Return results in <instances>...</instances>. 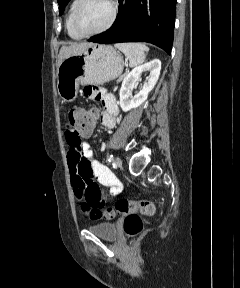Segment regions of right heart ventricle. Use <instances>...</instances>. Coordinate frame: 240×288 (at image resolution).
Segmentation results:
<instances>
[{
	"label": "right heart ventricle",
	"instance_id": "1",
	"mask_svg": "<svg viewBox=\"0 0 240 288\" xmlns=\"http://www.w3.org/2000/svg\"><path fill=\"white\" fill-rule=\"evenodd\" d=\"M78 2H79V0H72L71 1L69 8H68V11H67L66 19H65V28H66L67 34L69 35L70 38H72L74 40H79V39L83 38L73 29V26H72L73 12H74L75 7L78 4Z\"/></svg>",
	"mask_w": 240,
	"mask_h": 288
}]
</instances>
